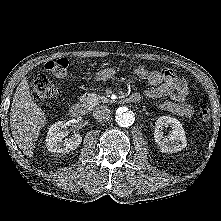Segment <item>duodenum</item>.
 Returning <instances> with one entry per match:
<instances>
[{"instance_id": "duodenum-1", "label": "duodenum", "mask_w": 221, "mask_h": 221, "mask_svg": "<svg viewBox=\"0 0 221 221\" xmlns=\"http://www.w3.org/2000/svg\"><path fill=\"white\" fill-rule=\"evenodd\" d=\"M127 100L131 103H137L141 100V96L137 93H134L129 95L127 97ZM91 103L92 100L90 98H87L83 102L73 104L69 109L70 115L76 118L84 116L87 113L88 107Z\"/></svg>"}]
</instances>
